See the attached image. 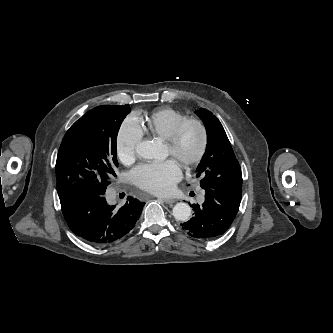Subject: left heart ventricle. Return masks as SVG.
Returning a JSON list of instances; mask_svg holds the SVG:
<instances>
[{
	"label": "left heart ventricle",
	"mask_w": 333,
	"mask_h": 333,
	"mask_svg": "<svg viewBox=\"0 0 333 333\" xmlns=\"http://www.w3.org/2000/svg\"><path fill=\"white\" fill-rule=\"evenodd\" d=\"M199 132L195 127H188L183 133L179 146V155L183 158H190L195 155L199 147ZM168 153L171 151L168 147Z\"/></svg>",
	"instance_id": "left-heart-ventricle-1"
}]
</instances>
